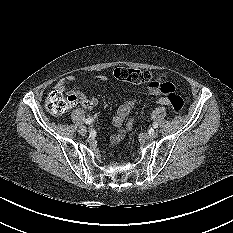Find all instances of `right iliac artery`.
Returning a JSON list of instances; mask_svg holds the SVG:
<instances>
[{
  "mask_svg": "<svg viewBox=\"0 0 233 233\" xmlns=\"http://www.w3.org/2000/svg\"><path fill=\"white\" fill-rule=\"evenodd\" d=\"M93 122V119L92 118H87L86 120H85V123L86 124H91Z\"/></svg>",
  "mask_w": 233,
  "mask_h": 233,
  "instance_id": "1",
  "label": "right iliac artery"
}]
</instances>
